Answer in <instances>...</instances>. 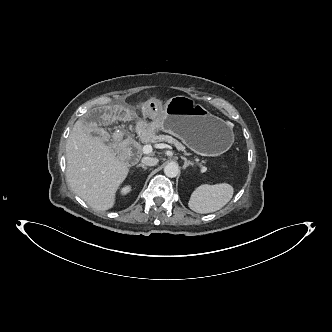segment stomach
Returning a JSON list of instances; mask_svg holds the SVG:
<instances>
[{
  "label": "stomach",
  "instance_id": "stomach-1",
  "mask_svg": "<svg viewBox=\"0 0 332 332\" xmlns=\"http://www.w3.org/2000/svg\"><path fill=\"white\" fill-rule=\"evenodd\" d=\"M154 121L156 128L179 138L198 154L217 156L234 141L233 129L226 121L185 96L169 99Z\"/></svg>",
  "mask_w": 332,
  "mask_h": 332
}]
</instances>
